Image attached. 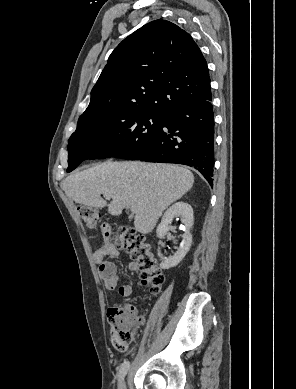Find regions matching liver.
Masks as SVG:
<instances>
[{"instance_id":"obj_1","label":"liver","mask_w":296,"mask_h":389,"mask_svg":"<svg viewBox=\"0 0 296 389\" xmlns=\"http://www.w3.org/2000/svg\"><path fill=\"white\" fill-rule=\"evenodd\" d=\"M192 172L170 164L106 161L69 175L62 183L66 195L87 207H108L112 216L136 209L135 230L152 232L163 211L187 193ZM108 195L110 204L101 198Z\"/></svg>"}]
</instances>
